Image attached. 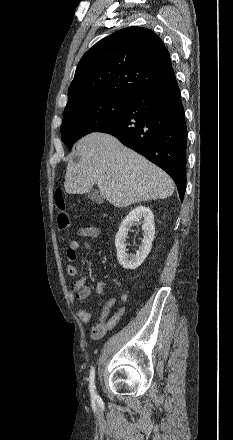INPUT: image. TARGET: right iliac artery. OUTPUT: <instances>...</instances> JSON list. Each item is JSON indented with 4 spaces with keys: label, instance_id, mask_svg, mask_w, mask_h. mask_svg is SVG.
Returning a JSON list of instances; mask_svg holds the SVG:
<instances>
[{
    "label": "right iliac artery",
    "instance_id": "82829eb1",
    "mask_svg": "<svg viewBox=\"0 0 233 440\" xmlns=\"http://www.w3.org/2000/svg\"><path fill=\"white\" fill-rule=\"evenodd\" d=\"M89 389H90L91 398L96 399L98 396H97V392H96V388H95V370H94V368H92V370L90 372Z\"/></svg>",
    "mask_w": 233,
    "mask_h": 440
}]
</instances>
